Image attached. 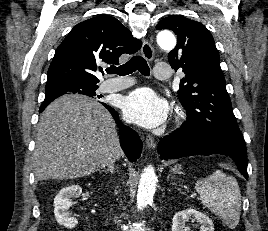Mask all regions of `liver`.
<instances>
[{
	"label": "liver",
	"instance_id": "liver-1",
	"mask_svg": "<svg viewBox=\"0 0 268 231\" xmlns=\"http://www.w3.org/2000/svg\"><path fill=\"white\" fill-rule=\"evenodd\" d=\"M121 156L116 124L96 100L64 95L42 112L33 152L37 181L88 176Z\"/></svg>",
	"mask_w": 268,
	"mask_h": 231
}]
</instances>
